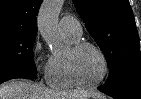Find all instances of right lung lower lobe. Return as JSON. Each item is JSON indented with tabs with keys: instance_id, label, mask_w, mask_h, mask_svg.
I'll return each mask as SVG.
<instances>
[{
	"instance_id": "obj_1",
	"label": "right lung lower lobe",
	"mask_w": 141,
	"mask_h": 99,
	"mask_svg": "<svg viewBox=\"0 0 141 99\" xmlns=\"http://www.w3.org/2000/svg\"><path fill=\"white\" fill-rule=\"evenodd\" d=\"M36 74L28 72H12L0 75V84L14 78H27L35 76Z\"/></svg>"
}]
</instances>
